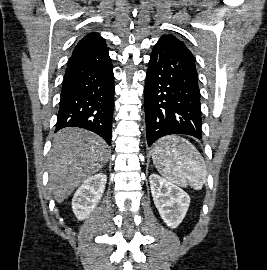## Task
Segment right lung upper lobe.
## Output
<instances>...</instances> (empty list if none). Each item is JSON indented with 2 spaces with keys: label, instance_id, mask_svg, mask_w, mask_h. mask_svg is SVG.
Listing matches in <instances>:
<instances>
[{
  "label": "right lung upper lobe",
  "instance_id": "obj_1",
  "mask_svg": "<svg viewBox=\"0 0 267 270\" xmlns=\"http://www.w3.org/2000/svg\"><path fill=\"white\" fill-rule=\"evenodd\" d=\"M104 43H105L104 39H102L99 34H97L96 32H92L79 41V43L77 44V46L73 51V54L81 50L98 46Z\"/></svg>",
  "mask_w": 267,
  "mask_h": 270
}]
</instances>
